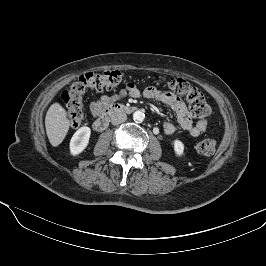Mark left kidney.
Listing matches in <instances>:
<instances>
[{"instance_id":"obj_1","label":"left kidney","mask_w":266,"mask_h":266,"mask_svg":"<svg viewBox=\"0 0 266 266\" xmlns=\"http://www.w3.org/2000/svg\"><path fill=\"white\" fill-rule=\"evenodd\" d=\"M173 147L176 156L181 157L184 152V144L180 140L176 139L173 141Z\"/></svg>"}]
</instances>
